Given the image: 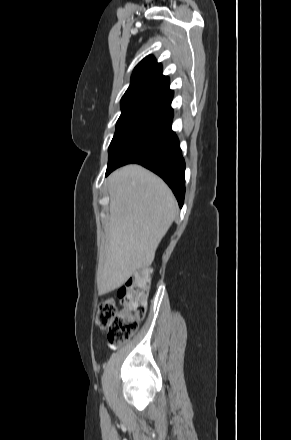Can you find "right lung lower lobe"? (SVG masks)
<instances>
[{"label": "right lung lower lobe", "mask_w": 291, "mask_h": 440, "mask_svg": "<svg viewBox=\"0 0 291 440\" xmlns=\"http://www.w3.org/2000/svg\"><path fill=\"white\" fill-rule=\"evenodd\" d=\"M172 98L173 91L168 90L153 101L111 160L106 176L120 166L138 163L163 178L182 207L185 195V161L179 140L171 130Z\"/></svg>", "instance_id": "obj_1"}]
</instances>
